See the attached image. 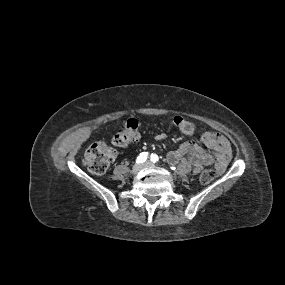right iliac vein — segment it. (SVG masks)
<instances>
[{
	"label": "right iliac vein",
	"mask_w": 285,
	"mask_h": 285,
	"mask_svg": "<svg viewBox=\"0 0 285 285\" xmlns=\"http://www.w3.org/2000/svg\"><path fill=\"white\" fill-rule=\"evenodd\" d=\"M142 167L143 166L141 164H135L132 168V171H131L132 174L137 175L141 171Z\"/></svg>",
	"instance_id": "63e3f726"
}]
</instances>
